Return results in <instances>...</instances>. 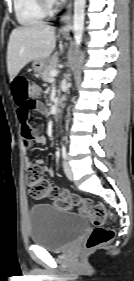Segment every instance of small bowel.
<instances>
[{
	"mask_svg": "<svg viewBox=\"0 0 134 281\" xmlns=\"http://www.w3.org/2000/svg\"><path fill=\"white\" fill-rule=\"evenodd\" d=\"M30 86L29 80L23 75H16L11 81V92L13 98L18 106L17 115L21 123V133L23 138V145L25 150L28 149L32 144L43 145L46 143V137L44 134L40 133L37 128H35L29 122V115L31 111L44 112V106L29 97L28 89ZM43 164V159L36 158L31 161L27 157V165H38ZM44 170L50 176H54L55 171L52 167L45 166Z\"/></svg>",
	"mask_w": 134,
	"mask_h": 281,
	"instance_id": "c3829d8e",
	"label": "small bowel"
}]
</instances>
